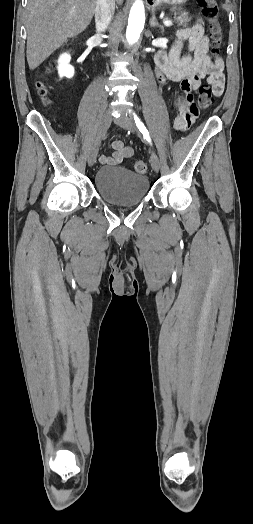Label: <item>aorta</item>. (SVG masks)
Segmentation results:
<instances>
[{"instance_id":"1","label":"aorta","mask_w":253,"mask_h":524,"mask_svg":"<svg viewBox=\"0 0 253 524\" xmlns=\"http://www.w3.org/2000/svg\"><path fill=\"white\" fill-rule=\"evenodd\" d=\"M144 23L145 9L143 2L141 0H136L130 10L126 31V38L129 44H134L138 41L144 28Z\"/></svg>"}]
</instances>
